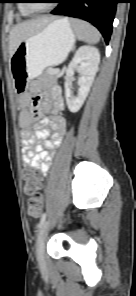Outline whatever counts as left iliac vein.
Wrapping results in <instances>:
<instances>
[{"label": "left iliac vein", "mask_w": 136, "mask_h": 296, "mask_svg": "<svg viewBox=\"0 0 136 296\" xmlns=\"http://www.w3.org/2000/svg\"><path fill=\"white\" fill-rule=\"evenodd\" d=\"M49 226H50V221L49 220L45 221L40 229V233L38 236L36 254H37V260L41 269L45 268L44 247H45V238H46Z\"/></svg>", "instance_id": "left-iliac-vein-1"}]
</instances>
